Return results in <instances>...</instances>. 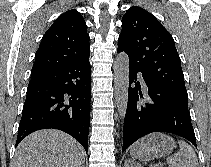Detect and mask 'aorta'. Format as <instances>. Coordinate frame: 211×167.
I'll return each instance as SVG.
<instances>
[{
	"mask_svg": "<svg viewBox=\"0 0 211 167\" xmlns=\"http://www.w3.org/2000/svg\"><path fill=\"white\" fill-rule=\"evenodd\" d=\"M113 70L116 106L119 118L123 121L127 110L129 88V57L126 53L117 55Z\"/></svg>",
	"mask_w": 211,
	"mask_h": 167,
	"instance_id": "obj_1",
	"label": "aorta"
}]
</instances>
